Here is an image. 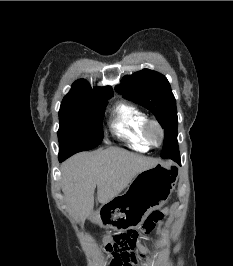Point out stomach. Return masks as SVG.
Returning <instances> with one entry per match:
<instances>
[{
	"label": "stomach",
	"mask_w": 233,
	"mask_h": 266,
	"mask_svg": "<svg viewBox=\"0 0 233 266\" xmlns=\"http://www.w3.org/2000/svg\"><path fill=\"white\" fill-rule=\"evenodd\" d=\"M177 176L179 167L163 163L138 173L124 194L101 205L103 228H111L112 232H132L133 228H140L148 214L165 202Z\"/></svg>",
	"instance_id": "1"
}]
</instances>
